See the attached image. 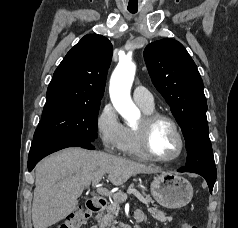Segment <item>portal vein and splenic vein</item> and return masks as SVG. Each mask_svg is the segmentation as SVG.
<instances>
[{
  "mask_svg": "<svg viewBox=\"0 0 238 228\" xmlns=\"http://www.w3.org/2000/svg\"><path fill=\"white\" fill-rule=\"evenodd\" d=\"M96 191L100 194V195H103V196H107V197H110L112 196V198H117V199H121L123 201H125L127 199V194L123 193H113L111 194L108 189L106 188H103V187H97ZM128 194H134L135 197L142 203H144L145 205L148 206V202L146 201V199L139 193L137 192L136 190L134 189H129L127 191Z\"/></svg>",
  "mask_w": 238,
  "mask_h": 228,
  "instance_id": "portal-vein-and-splenic-vein-1",
  "label": "portal vein and splenic vein"
}]
</instances>
